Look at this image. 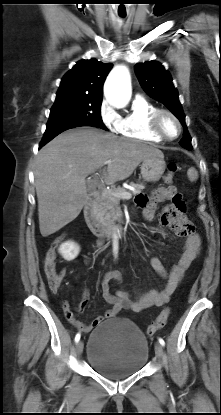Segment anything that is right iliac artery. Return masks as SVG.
<instances>
[{"label": "right iliac artery", "instance_id": "1", "mask_svg": "<svg viewBox=\"0 0 221 415\" xmlns=\"http://www.w3.org/2000/svg\"><path fill=\"white\" fill-rule=\"evenodd\" d=\"M80 337H81L80 333H77L76 336H75V342L76 343L80 340Z\"/></svg>", "mask_w": 221, "mask_h": 415}]
</instances>
